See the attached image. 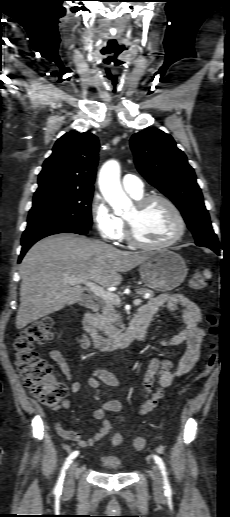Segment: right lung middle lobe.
Here are the masks:
<instances>
[{
	"mask_svg": "<svg viewBox=\"0 0 230 517\" xmlns=\"http://www.w3.org/2000/svg\"><path fill=\"white\" fill-rule=\"evenodd\" d=\"M93 191L56 193L33 199L27 228L66 223L90 229Z\"/></svg>",
	"mask_w": 230,
	"mask_h": 517,
	"instance_id": "obj_1",
	"label": "right lung middle lobe"
}]
</instances>
